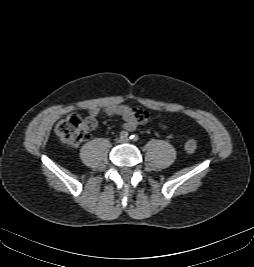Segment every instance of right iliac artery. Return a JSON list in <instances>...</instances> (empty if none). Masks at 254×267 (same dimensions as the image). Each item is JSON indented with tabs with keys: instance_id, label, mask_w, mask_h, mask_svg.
Listing matches in <instances>:
<instances>
[{
	"instance_id": "right-iliac-artery-1",
	"label": "right iliac artery",
	"mask_w": 254,
	"mask_h": 267,
	"mask_svg": "<svg viewBox=\"0 0 254 267\" xmlns=\"http://www.w3.org/2000/svg\"><path fill=\"white\" fill-rule=\"evenodd\" d=\"M120 137H121V138H127V137H128V132H126V131H121V132H120Z\"/></svg>"
}]
</instances>
